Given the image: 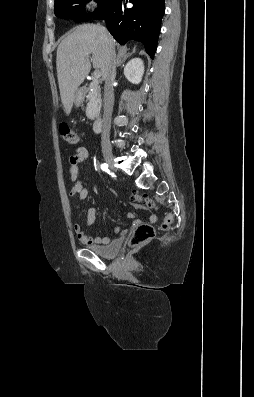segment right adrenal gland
<instances>
[{
    "label": "right adrenal gland",
    "mask_w": 254,
    "mask_h": 397,
    "mask_svg": "<svg viewBox=\"0 0 254 397\" xmlns=\"http://www.w3.org/2000/svg\"><path fill=\"white\" fill-rule=\"evenodd\" d=\"M126 57H128V55H126ZM116 65H117L118 67L121 65V61H120L119 57H118L117 60H116Z\"/></svg>",
    "instance_id": "1"
}]
</instances>
